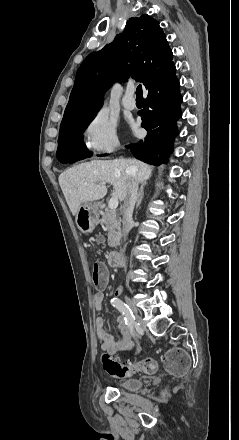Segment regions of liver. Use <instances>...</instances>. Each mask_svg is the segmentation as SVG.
<instances>
[{"label": "liver", "instance_id": "1", "mask_svg": "<svg viewBox=\"0 0 239 440\" xmlns=\"http://www.w3.org/2000/svg\"><path fill=\"white\" fill-rule=\"evenodd\" d=\"M128 168L135 170V178L141 184H146V180H149L153 172L151 166L139 160L118 158V160H92V162L78 164L60 174V188L73 216L77 214L83 202L101 200L106 196L107 188L103 182H109L111 186H114V192H112L114 198H118L121 202L125 200L127 184L130 180Z\"/></svg>", "mask_w": 239, "mask_h": 440}]
</instances>
